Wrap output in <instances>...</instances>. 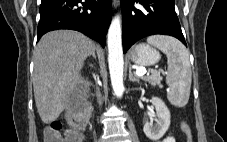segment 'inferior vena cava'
<instances>
[{
    "label": "inferior vena cava",
    "instance_id": "602c4592",
    "mask_svg": "<svg viewBox=\"0 0 227 142\" xmlns=\"http://www.w3.org/2000/svg\"><path fill=\"white\" fill-rule=\"evenodd\" d=\"M97 99H98L99 105H101L102 104V98H101V94L100 93L97 94Z\"/></svg>",
    "mask_w": 227,
    "mask_h": 142
}]
</instances>
